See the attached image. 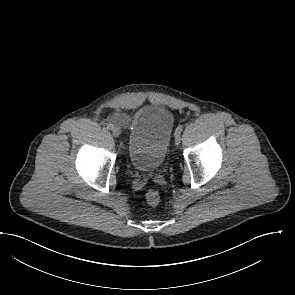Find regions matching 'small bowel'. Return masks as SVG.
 I'll use <instances>...</instances> for the list:
<instances>
[{
  "label": "small bowel",
  "mask_w": 295,
  "mask_h": 295,
  "mask_svg": "<svg viewBox=\"0 0 295 295\" xmlns=\"http://www.w3.org/2000/svg\"><path fill=\"white\" fill-rule=\"evenodd\" d=\"M117 120H118V122H121V123L126 122V119L124 117H118Z\"/></svg>",
  "instance_id": "1"
}]
</instances>
